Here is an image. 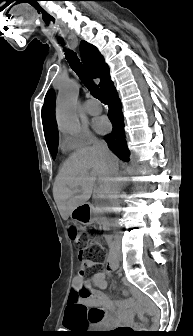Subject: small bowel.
Here are the masks:
<instances>
[{
    "instance_id": "small-bowel-1",
    "label": "small bowel",
    "mask_w": 193,
    "mask_h": 336,
    "mask_svg": "<svg viewBox=\"0 0 193 336\" xmlns=\"http://www.w3.org/2000/svg\"><path fill=\"white\" fill-rule=\"evenodd\" d=\"M89 264L88 267H92ZM85 266L82 265L81 268ZM108 271L110 267L108 266ZM107 280L104 271L95 272L90 278L77 274L71 283L68 310L64 325L70 327L76 323L84 326H106L128 324L131 321V300L116 301L104 290ZM84 290L90 291L89 296H83ZM126 296L128 291H124Z\"/></svg>"
}]
</instances>
